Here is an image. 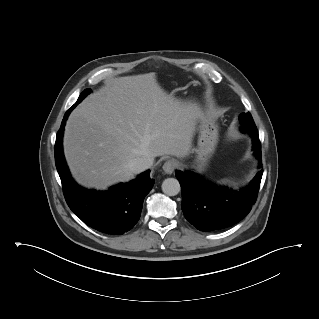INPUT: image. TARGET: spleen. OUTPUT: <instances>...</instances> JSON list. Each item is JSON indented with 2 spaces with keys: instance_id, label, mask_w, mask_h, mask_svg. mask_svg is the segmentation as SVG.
<instances>
[{
  "instance_id": "obj_1",
  "label": "spleen",
  "mask_w": 319,
  "mask_h": 319,
  "mask_svg": "<svg viewBox=\"0 0 319 319\" xmlns=\"http://www.w3.org/2000/svg\"><path fill=\"white\" fill-rule=\"evenodd\" d=\"M227 181H228L227 179L221 180L222 183H226Z\"/></svg>"
}]
</instances>
